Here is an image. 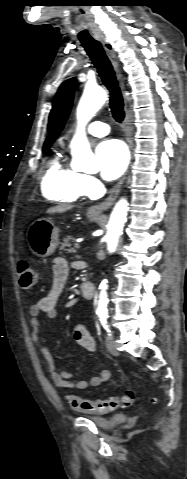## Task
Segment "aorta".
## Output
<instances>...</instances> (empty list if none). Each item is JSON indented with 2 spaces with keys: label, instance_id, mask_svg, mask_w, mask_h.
I'll return each mask as SVG.
<instances>
[{
  "label": "aorta",
  "instance_id": "762f6f07",
  "mask_svg": "<svg viewBox=\"0 0 187 479\" xmlns=\"http://www.w3.org/2000/svg\"><path fill=\"white\" fill-rule=\"evenodd\" d=\"M106 92L101 87H86L77 107V132L71 142V153L75 169L85 173L93 174L100 170L99 160L93 156L89 142L85 134V126L97 113L106 101ZM126 199L119 200L110 216L108 232L106 235L107 249L113 252L122 235L128 212ZM107 280H103L99 286L101 290L98 301L97 314H107L108 298L106 290Z\"/></svg>",
  "mask_w": 187,
  "mask_h": 479
}]
</instances>
